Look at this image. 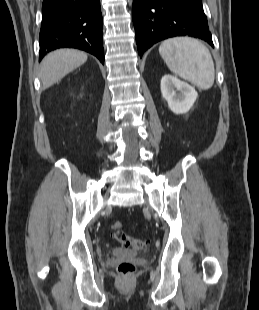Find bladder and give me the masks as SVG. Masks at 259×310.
Listing matches in <instances>:
<instances>
[{
    "label": "bladder",
    "instance_id": "obj_1",
    "mask_svg": "<svg viewBox=\"0 0 259 310\" xmlns=\"http://www.w3.org/2000/svg\"><path fill=\"white\" fill-rule=\"evenodd\" d=\"M111 253L112 255L123 259H133L138 255V253L135 251L126 250L122 248H113L111 250Z\"/></svg>",
    "mask_w": 259,
    "mask_h": 310
}]
</instances>
